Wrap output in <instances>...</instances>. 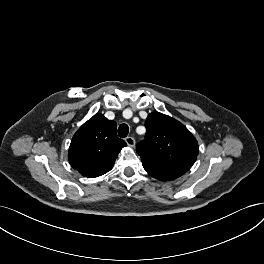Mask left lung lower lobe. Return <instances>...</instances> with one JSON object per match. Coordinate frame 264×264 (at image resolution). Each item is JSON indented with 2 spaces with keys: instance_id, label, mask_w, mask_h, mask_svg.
Wrapping results in <instances>:
<instances>
[{
  "instance_id": "1",
  "label": "left lung lower lobe",
  "mask_w": 264,
  "mask_h": 264,
  "mask_svg": "<svg viewBox=\"0 0 264 264\" xmlns=\"http://www.w3.org/2000/svg\"><path fill=\"white\" fill-rule=\"evenodd\" d=\"M142 164L148 174L161 181L173 180L185 173L176 169L160 167L146 162H142Z\"/></svg>"
}]
</instances>
